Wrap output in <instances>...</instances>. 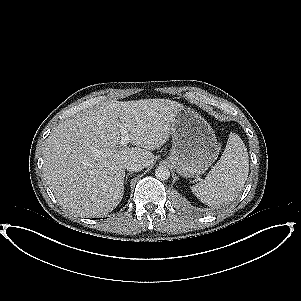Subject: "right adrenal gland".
Returning <instances> with one entry per match:
<instances>
[{
  "label": "right adrenal gland",
  "instance_id": "1",
  "mask_svg": "<svg viewBox=\"0 0 301 301\" xmlns=\"http://www.w3.org/2000/svg\"><path fill=\"white\" fill-rule=\"evenodd\" d=\"M132 173H128L126 176H125V182H124V184H127V180H128V177H129V175H131Z\"/></svg>",
  "mask_w": 301,
  "mask_h": 301
}]
</instances>
